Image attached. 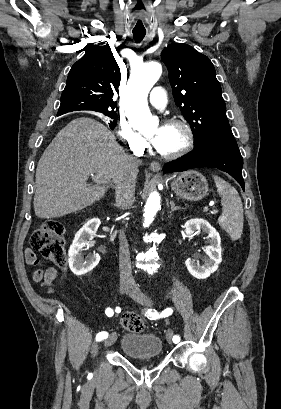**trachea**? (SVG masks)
<instances>
[{
  "label": "trachea",
  "instance_id": "trachea-1",
  "mask_svg": "<svg viewBox=\"0 0 281 409\" xmlns=\"http://www.w3.org/2000/svg\"><path fill=\"white\" fill-rule=\"evenodd\" d=\"M145 35H146V32H133V38H134L136 43L142 42Z\"/></svg>",
  "mask_w": 281,
  "mask_h": 409
}]
</instances>
